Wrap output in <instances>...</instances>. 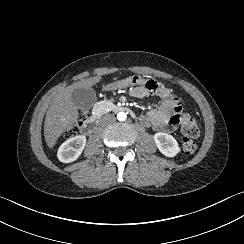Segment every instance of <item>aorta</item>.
Instances as JSON below:
<instances>
[{"label": "aorta", "mask_w": 244, "mask_h": 244, "mask_svg": "<svg viewBox=\"0 0 244 244\" xmlns=\"http://www.w3.org/2000/svg\"><path fill=\"white\" fill-rule=\"evenodd\" d=\"M117 119H118L119 121H125V120L127 119V114L124 113V112H119V113L117 114Z\"/></svg>", "instance_id": "1"}]
</instances>
